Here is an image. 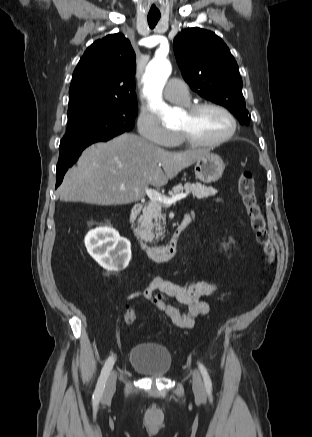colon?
Returning <instances> with one entry per match:
<instances>
[{
    "mask_svg": "<svg viewBox=\"0 0 312 437\" xmlns=\"http://www.w3.org/2000/svg\"><path fill=\"white\" fill-rule=\"evenodd\" d=\"M238 189L256 240L262 246L267 262L272 264L274 261V247L256 196L254 176L250 171L241 172L238 178ZM135 321V311L128 309L124 314V322L128 326H132Z\"/></svg>",
    "mask_w": 312,
    "mask_h": 437,
    "instance_id": "colon-1",
    "label": "colon"
}]
</instances>
